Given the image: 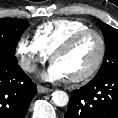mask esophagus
Listing matches in <instances>:
<instances>
[{"label": "esophagus", "instance_id": "34e87169", "mask_svg": "<svg viewBox=\"0 0 118 118\" xmlns=\"http://www.w3.org/2000/svg\"><path fill=\"white\" fill-rule=\"evenodd\" d=\"M37 90L39 93H49V92L53 91V89L47 88V87L40 85V84L37 85Z\"/></svg>", "mask_w": 118, "mask_h": 118}]
</instances>
